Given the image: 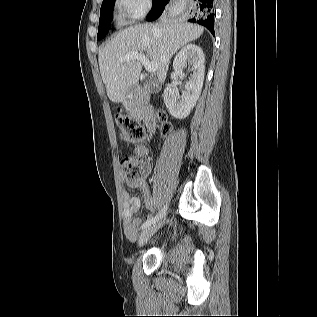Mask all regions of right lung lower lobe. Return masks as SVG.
<instances>
[{
	"mask_svg": "<svg viewBox=\"0 0 317 317\" xmlns=\"http://www.w3.org/2000/svg\"><path fill=\"white\" fill-rule=\"evenodd\" d=\"M170 0H159L147 16L148 21L157 19ZM190 22L205 26L214 35V0H191Z\"/></svg>",
	"mask_w": 317,
	"mask_h": 317,
	"instance_id": "right-lung-lower-lobe-1",
	"label": "right lung lower lobe"
}]
</instances>
